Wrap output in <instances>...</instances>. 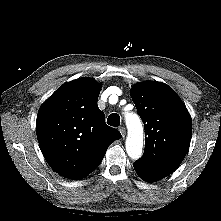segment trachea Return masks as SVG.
Listing matches in <instances>:
<instances>
[{"label": "trachea", "instance_id": "3493384b", "mask_svg": "<svg viewBox=\"0 0 221 221\" xmlns=\"http://www.w3.org/2000/svg\"><path fill=\"white\" fill-rule=\"evenodd\" d=\"M107 124L113 127L120 125V116L117 113H112L107 119Z\"/></svg>", "mask_w": 221, "mask_h": 221}]
</instances>
